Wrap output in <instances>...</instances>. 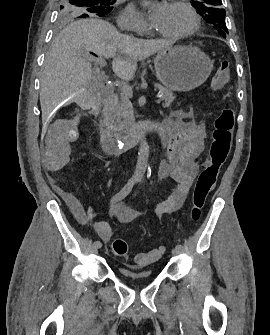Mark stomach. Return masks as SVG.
Returning <instances> with one entry per match:
<instances>
[{
    "label": "stomach",
    "mask_w": 270,
    "mask_h": 335,
    "mask_svg": "<svg viewBox=\"0 0 270 335\" xmlns=\"http://www.w3.org/2000/svg\"><path fill=\"white\" fill-rule=\"evenodd\" d=\"M157 80L174 92H190L206 82L213 70L210 60L199 48L174 46L154 58Z\"/></svg>",
    "instance_id": "stomach-1"
}]
</instances>
